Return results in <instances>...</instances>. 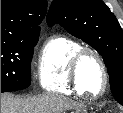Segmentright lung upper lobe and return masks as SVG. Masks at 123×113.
<instances>
[{
    "label": "right lung upper lobe",
    "mask_w": 123,
    "mask_h": 113,
    "mask_svg": "<svg viewBox=\"0 0 123 113\" xmlns=\"http://www.w3.org/2000/svg\"><path fill=\"white\" fill-rule=\"evenodd\" d=\"M46 0H1V41L38 36Z\"/></svg>",
    "instance_id": "right-lung-upper-lobe-1"
}]
</instances>
